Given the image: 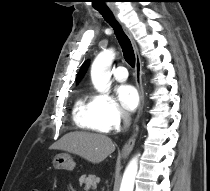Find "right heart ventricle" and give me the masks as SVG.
Wrapping results in <instances>:
<instances>
[{
	"instance_id": "1",
	"label": "right heart ventricle",
	"mask_w": 210,
	"mask_h": 191,
	"mask_svg": "<svg viewBox=\"0 0 210 191\" xmlns=\"http://www.w3.org/2000/svg\"><path fill=\"white\" fill-rule=\"evenodd\" d=\"M74 120L83 129L99 133H106L109 128L102 122L96 110L93 98L83 95L75 104Z\"/></svg>"
}]
</instances>
